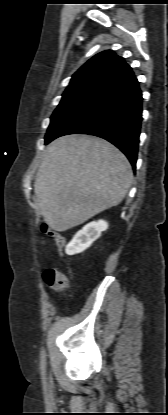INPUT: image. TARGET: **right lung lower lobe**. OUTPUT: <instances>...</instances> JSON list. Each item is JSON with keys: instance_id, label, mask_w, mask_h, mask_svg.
<instances>
[{"instance_id": "1", "label": "right lung lower lobe", "mask_w": 168, "mask_h": 415, "mask_svg": "<svg viewBox=\"0 0 168 415\" xmlns=\"http://www.w3.org/2000/svg\"><path fill=\"white\" fill-rule=\"evenodd\" d=\"M142 100L139 82L131 72L81 108L45 144L68 134L98 136L118 147L135 169Z\"/></svg>"}]
</instances>
